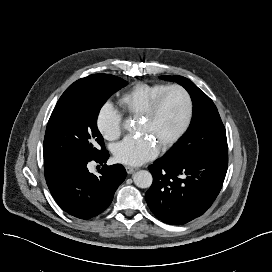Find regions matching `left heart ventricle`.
<instances>
[{"label":"left heart ventricle","instance_id":"b2bd125f","mask_svg":"<svg viewBox=\"0 0 272 272\" xmlns=\"http://www.w3.org/2000/svg\"><path fill=\"white\" fill-rule=\"evenodd\" d=\"M185 112L183 95L178 91H171L163 100L157 114L152 119L142 121L140 133L150 136L153 142L161 147L181 126Z\"/></svg>","mask_w":272,"mask_h":272}]
</instances>
